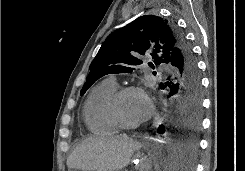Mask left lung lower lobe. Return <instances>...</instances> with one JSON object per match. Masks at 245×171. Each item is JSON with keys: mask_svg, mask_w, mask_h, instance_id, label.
I'll list each match as a JSON object with an SVG mask.
<instances>
[{"mask_svg": "<svg viewBox=\"0 0 245 171\" xmlns=\"http://www.w3.org/2000/svg\"><path fill=\"white\" fill-rule=\"evenodd\" d=\"M169 64L173 66L174 75L161 84V89H167L169 96L175 95V105L178 115L173 120L185 128L195 129L199 126L202 97L201 83L197 64L191 50L186 46L177 50L171 57ZM164 127L158 128V133H163ZM198 146L197 138L193 134L182 133L174 140L177 154L176 167H193L192 158Z\"/></svg>", "mask_w": 245, "mask_h": 171, "instance_id": "1", "label": "left lung lower lobe"}]
</instances>
